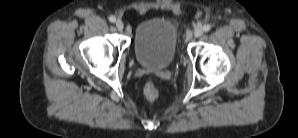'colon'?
Returning <instances> with one entry per match:
<instances>
[{
    "mask_svg": "<svg viewBox=\"0 0 298 138\" xmlns=\"http://www.w3.org/2000/svg\"><path fill=\"white\" fill-rule=\"evenodd\" d=\"M143 94L148 102H153L158 96V89L153 82H148L144 86Z\"/></svg>",
    "mask_w": 298,
    "mask_h": 138,
    "instance_id": "5ec220e1",
    "label": "colon"
}]
</instances>
